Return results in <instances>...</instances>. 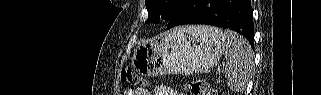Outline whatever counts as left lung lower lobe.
Here are the masks:
<instances>
[{"mask_svg":"<svg viewBox=\"0 0 321 95\" xmlns=\"http://www.w3.org/2000/svg\"><path fill=\"white\" fill-rule=\"evenodd\" d=\"M184 24L229 28L243 35L253 45L251 0H183L170 17L168 28Z\"/></svg>","mask_w":321,"mask_h":95,"instance_id":"left-lung-lower-lobe-1","label":"left lung lower lobe"}]
</instances>
